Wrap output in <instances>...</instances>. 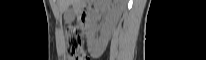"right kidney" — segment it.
I'll return each instance as SVG.
<instances>
[{
    "mask_svg": "<svg viewBox=\"0 0 206 60\" xmlns=\"http://www.w3.org/2000/svg\"><path fill=\"white\" fill-rule=\"evenodd\" d=\"M100 11H107L108 13L106 22L102 26L97 25ZM121 12V4L117 0H114L113 2L112 0H102L96 4L90 26L91 45L101 50L107 46L110 35L118 22ZM98 30L101 31V35L100 37H95Z\"/></svg>",
    "mask_w": 206,
    "mask_h": 60,
    "instance_id": "right-kidney-1",
    "label": "right kidney"
}]
</instances>
